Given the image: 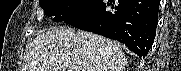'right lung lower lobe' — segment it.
Instances as JSON below:
<instances>
[{"label": "right lung lower lobe", "mask_w": 181, "mask_h": 71, "mask_svg": "<svg viewBox=\"0 0 181 71\" xmlns=\"http://www.w3.org/2000/svg\"><path fill=\"white\" fill-rule=\"evenodd\" d=\"M159 3L160 0H95L64 22L118 40L144 58L156 35Z\"/></svg>", "instance_id": "98d812e1"}]
</instances>
